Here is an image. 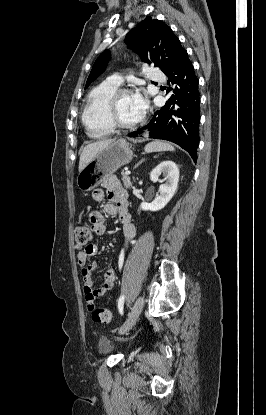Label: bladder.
Segmentation results:
<instances>
[{
	"mask_svg": "<svg viewBox=\"0 0 266 415\" xmlns=\"http://www.w3.org/2000/svg\"><path fill=\"white\" fill-rule=\"evenodd\" d=\"M97 349L102 354L111 353L115 349V344L109 336L102 335L98 339Z\"/></svg>",
	"mask_w": 266,
	"mask_h": 415,
	"instance_id": "obj_1",
	"label": "bladder"
}]
</instances>
